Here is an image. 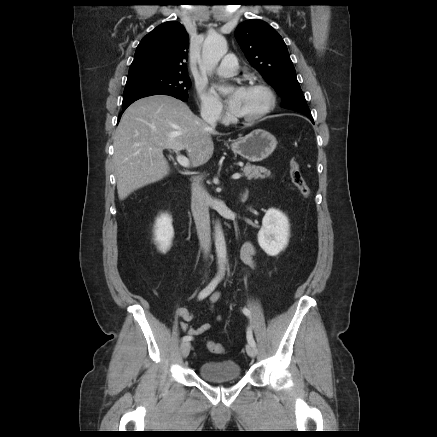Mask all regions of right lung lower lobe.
Returning <instances> with one entry per match:
<instances>
[{
    "mask_svg": "<svg viewBox=\"0 0 437 437\" xmlns=\"http://www.w3.org/2000/svg\"><path fill=\"white\" fill-rule=\"evenodd\" d=\"M129 105H125V106H122V112H121V114L124 112V110L128 107ZM121 114H120V116H119V120H120V117H121Z\"/></svg>",
    "mask_w": 437,
    "mask_h": 437,
    "instance_id": "obj_1",
    "label": "right lung lower lobe"
}]
</instances>
